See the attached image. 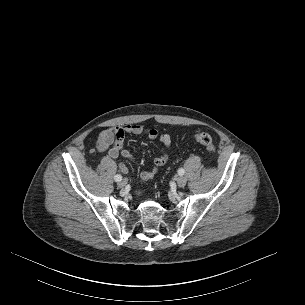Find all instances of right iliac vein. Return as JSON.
<instances>
[{
	"instance_id": "right-iliac-vein-1",
	"label": "right iliac vein",
	"mask_w": 305,
	"mask_h": 305,
	"mask_svg": "<svg viewBox=\"0 0 305 305\" xmlns=\"http://www.w3.org/2000/svg\"><path fill=\"white\" fill-rule=\"evenodd\" d=\"M126 184H127L126 179H123L118 183V187L123 188L126 186Z\"/></svg>"
}]
</instances>
